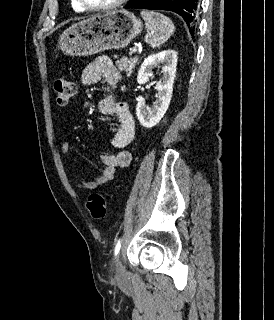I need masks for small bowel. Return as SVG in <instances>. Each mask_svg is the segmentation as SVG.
<instances>
[{
  "label": "small bowel",
  "instance_id": "obj_1",
  "mask_svg": "<svg viewBox=\"0 0 274 320\" xmlns=\"http://www.w3.org/2000/svg\"><path fill=\"white\" fill-rule=\"evenodd\" d=\"M101 79H104L112 87L117 86L121 80L118 69L112 60L105 55L91 60L81 74V82L84 85H93ZM99 109L104 114L113 115L119 125L118 131L111 139L112 145L119 149V152L116 154H102L101 161L104 168L101 174L91 181L83 178L78 179L75 185L80 190L89 191L103 187L114 178L119 168H126L132 162V155L126 150V147L133 142L136 128L129 106L124 102L118 101L115 95H107L100 100ZM69 150V142H62L61 152L68 154Z\"/></svg>",
  "mask_w": 274,
  "mask_h": 320
}]
</instances>
